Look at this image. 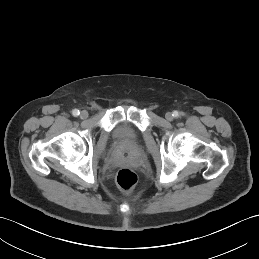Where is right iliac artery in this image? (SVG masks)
I'll return each mask as SVG.
<instances>
[{"label":"right iliac artery","mask_w":259,"mask_h":259,"mask_svg":"<svg viewBox=\"0 0 259 259\" xmlns=\"http://www.w3.org/2000/svg\"><path fill=\"white\" fill-rule=\"evenodd\" d=\"M72 114H73V116H78V115L80 114V112H79L78 109H74V110L72 111Z\"/></svg>","instance_id":"right-iliac-artery-1"}]
</instances>
